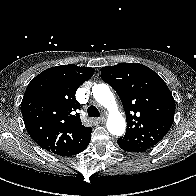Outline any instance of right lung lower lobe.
Returning a JSON list of instances; mask_svg holds the SVG:
<instances>
[{
	"mask_svg": "<svg viewBox=\"0 0 196 196\" xmlns=\"http://www.w3.org/2000/svg\"><path fill=\"white\" fill-rule=\"evenodd\" d=\"M90 142V137L87 138L86 140H84L79 146H77L76 148H74L73 150L69 151L67 154H65L64 156H73L76 155L82 151H84L88 144Z\"/></svg>",
	"mask_w": 196,
	"mask_h": 196,
	"instance_id": "obj_1",
	"label": "right lung lower lobe"
}]
</instances>
